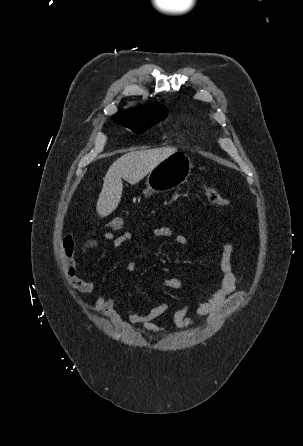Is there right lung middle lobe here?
Wrapping results in <instances>:
<instances>
[{"instance_id":"dd1d6c3e","label":"right lung middle lobe","mask_w":303,"mask_h":446,"mask_svg":"<svg viewBox=\"0 0 303 446\" xmlns=\"http://www.w3.org/2000/svg\"><path fill=\"white\" fill-rule=\"evenodd\" d=\"M167 116L166 108H159L151 113L145 115H114L113 119L118 124H124L125 127L130 128L135 133H142L149 129L152 125L158 123Z\"/></svg>"}]
</instances>
